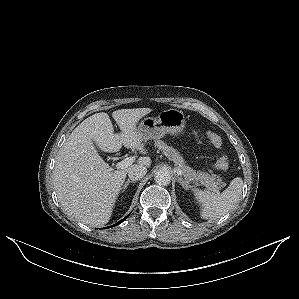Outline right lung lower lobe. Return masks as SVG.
Instances as JSON below:
<instances>
[{
	"mask_svg": "<svg viewBox=\"0 0 299 299\" xmlns=\"http://www.w3.org/2000/svg\"><path fill=\"white\" fill-rule=\"evenodd\" d=\"M128 217V216H127ZM127 217H125V218H123L121 221H119L118 223H116V224H114V225H112L111 227H114V226H116V225H118V224H120V223H122Z\"/></svg>",
	"mask_w": 299,
	"mask_h": 299,
	"instance_id": "1",
	"label": "right lung lower lobe"
}]
</instances>
